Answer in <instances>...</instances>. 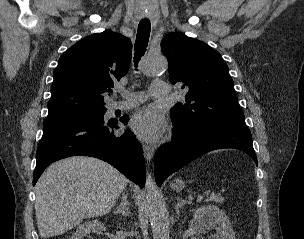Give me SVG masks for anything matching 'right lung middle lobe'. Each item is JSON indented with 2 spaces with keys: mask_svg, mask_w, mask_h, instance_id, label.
Returning <instances> with one entry per match:
<instances>
[{
  "mask_svg": "<svg viewBox=\"0 0 304 239\" xmlns=\"http://www.w3.org/2000/svg\"><path fill=\"white\" fill-rule=\"evenodd\" d=\"M105 111H106L105 108H97L69 116L47 118L44 121V126L60 124V123L92 122V121L102 120Z\"/></svg>",
  "mask_w": 304,
  "mask_h": 239,
  "instance_id": "dd1d6c3e",
  "label": "right lung middle lobe"
}]
</instances>
